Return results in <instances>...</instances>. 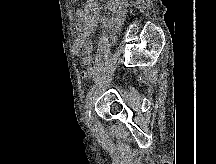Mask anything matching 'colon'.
I'll list each match as a JSON object with an SVG mask.
<instances>
[{
  "label": "colon",
  "instance_id": "5ec220e1",
  "mask_svg": "<svg viewBox=\"0 0 216 164\" xmlns=\"http://www.w3.org/2000/svg\"><path fill=\"white\" fill-rule=\"evenodd\" d=\"M84 69L82 70V77L85 79H90L94 75V68L91 65H84Z\"/></svg>",
  "mask_w": 216,
  "mask_h": 164
}]
</instances>
